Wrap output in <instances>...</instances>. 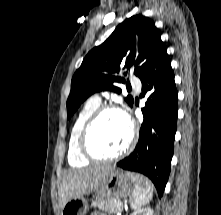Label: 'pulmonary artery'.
I'll return each mask as SVG.
<instances>
[{
    "instance_id": "1",
    "label": "pulmonary artery",
    "mask_w": 221,
    "mask_h": 215,
    "mask_svg": "<svg viewBox=\"0 0 221 215\" xmlns=\"http://www.w3.org/2000/svg\"><path fill=\"white\" fill-rule=\"evenodd\" d=\"M131 83H132V85H133L137 90L140 89V87H141V82H140V80H139L138 78L132 77V78H131ZM94 98H96V99L99 100V97H98V96H94Z\"/></svg>"
}]
</instances>
